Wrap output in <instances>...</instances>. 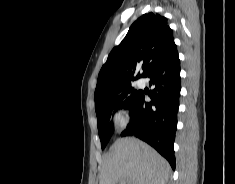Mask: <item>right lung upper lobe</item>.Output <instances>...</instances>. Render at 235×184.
Instances as JSON below:
<instances>
[{
  "label": "right lung upper lobe",
  "instance_id": "right-lung-upper-lobe-1",
  "mask_svg": "<svg viewBox=\"0 0 235 184\" xmlns=\"http://www.w3.org/2000/svg\"><path fill=\"white\" fill-rule=\"evenodd\" d=\"M176 51L167 19L152 12L142 15L131 25L123 41L112 49L102 66L95 89V107L110 104L112 88L145 77ZM139 68L143 72L134 77Z\"/></svg>",
  "mask_w": 235,
  "mask_h": 184
}]
</instances>
